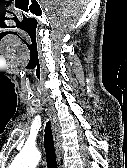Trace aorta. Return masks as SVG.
<instances>
[{
    "label": "aorta",
    "mask_w": 127,
    "mask_h": 168,
    "mask_svg": "<svg viewBox=\"0 0 127 168\" xmlns=\"http://www.w3.org/2000/svg\"><path fill=\"white\" fill-rule=\"evenodd\" d=\"M40 153L32 147H25L15 158L9 168H36Z\"/></svg>",
    "instance_id": "aorta-1"
}]
</instances>
